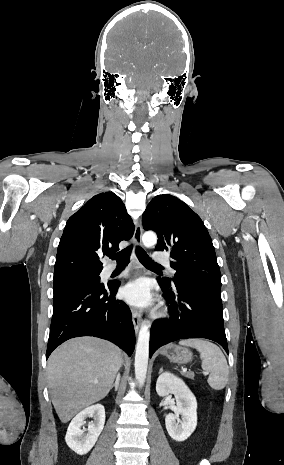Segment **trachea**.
Segmentation results:
<instances>
[{
    "mask_svg": "<svg viewBox=\"0 0 284 465\" xmlns=\"http://www.w3.org/2000/svg\"><path fill=\"white\" fill-rule=\"evenodd\" d=\"M132 248L133 246L131 245L119 253L110 254L108 256L112 260H116L118 265H127L129 263ZM135 252H136V255L139 261L143 265H146L147 267L153 268V269H159V270L163 269V267L159 265L158 263H155L141 247H136Z\"/></svg>",
    "mask_w": 284,
    "mask_h": 465,
    "instance_id": "obj_1",
    "label": "trachea"
}]
</instances>
